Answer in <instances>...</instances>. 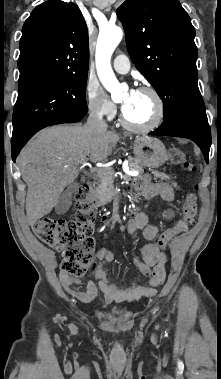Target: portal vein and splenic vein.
<instances>
[{
  "label": "portal vein and splenic vein",
  "mask_w": 221,
  "mask_h": 379,
  "mask_svg": "<svg viewBox=\"0 0 221 379\" xmlns=\"http://www.w3.org/2000/svg\"><path fill=\"white\" fill-rule=\"evenodd\" d=\"M92 172H95L97 173L98 175H102L103 174V170L102 169H97V168H93L92 169ZM124 173L126 175H135V172H132V171H129V170H124ZM125 177V176H124Z\"/></svg>",
  "instance_id": "obj_1"
}]
</instances>
